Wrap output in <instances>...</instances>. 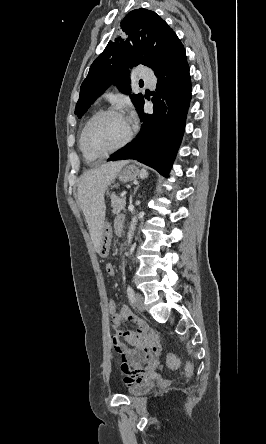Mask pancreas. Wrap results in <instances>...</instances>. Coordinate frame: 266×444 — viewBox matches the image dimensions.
<instances>
[{
    "label": "pancreas",
    "mask_w": 266,
    "mask_h": 444,
    "mask_svg": "<svg viewBox=\"0 0 266 444\" xmlns=\"http://www.w3.org/2000/svg\"><path fill=\"white\" fill-rule=\"evenodd\" d=\"M126 205V201L124 197H118L115 194L111 195V207L113 214H119Z\"/></svg>",
    "instance_id": "obj_1"
}]
</instances>
